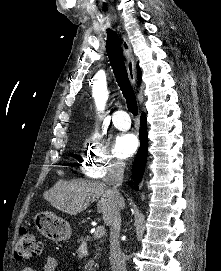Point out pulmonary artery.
I'll use <instances>...</instances> for the list:
<instances>
[{"instance_id": "1", "label": "pulmonary artery", "mask_w": 221, "mask_h": 271, "mask_svg": "<svg viewBox=\"0 0 221 271\" xmlns=\"http://www.w3.org/2000/svg\"><path fill=\"white\" fill-rule=\"evenodd\" d=\"M111 116L114 117V126L119 130H128L131 122V117H128V112H112Z\"/></svg>"}]
</instances>
